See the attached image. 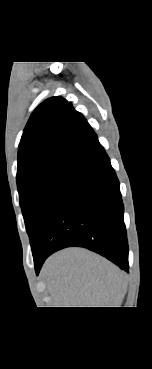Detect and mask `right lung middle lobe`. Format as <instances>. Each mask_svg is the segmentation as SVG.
I'll use <instances>...</instances> for the list:
<instances>
[{
	"mask_svg": "<svg viewBox=\"0 0 152 369\" xmlns=\"http://www.w3.org/2000/svg\"><path fill=\"white\" fill-rule=\"evenodd\" d=\"M75 164L70 161L57 162L46 168L29 171L17 180L20 206L32 252Z\"/></svg>",
	"mask_w": 152,
	"mask_h": 369,
	"instance_id": "dd1d6c3e",
	"label": "right lung middle lobe"
}]
</instances>
